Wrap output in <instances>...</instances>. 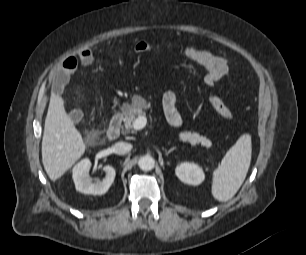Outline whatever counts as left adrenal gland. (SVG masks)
I'll return each mask as SVG.
<instances>
[{
    "mask_svg": "<svg viewBox=\"0 0 306 255\" xmlns=\"http://www.w3.org/2000/svg\"><path fill=\"white\" fill-rule=\"evenodd\" d=\"M174 150H176V147H172L170 148L168 151H165V155H169L171 152H173Z\"/></svg>",
    "mask_w": 306,
    "mask_h": 255,
    "instance_id": "left-adrenal-gland-1",
    "label": "left adrenal gland"
}]
</instances>
